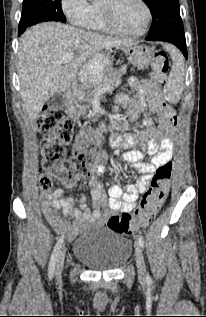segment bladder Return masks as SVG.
<instances>
[{
	"mask_svg": "<svg viewBox=\"0 0 206 317\" xmlns=\"http://www.w3.org/2000/svg\"><path fill=\"white\" fill-rule=\"evenodd\" d=\"M132 242L109 228L91 226L74 243V257L92 270H114L132 253Z\"/></svg>",
	"mask_w": 206,
	"mask_h": 317,
	"instance_id": "obj_1",
	"label": "bladder"
}]
</instances>
